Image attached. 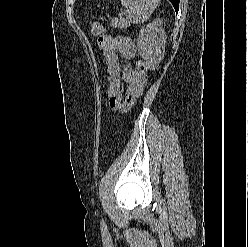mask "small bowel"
<instances>
[{"mask_svg":"<svg viewBox=\"0 0 248 247\" xmlns=\"http://www.w3.org/2000/svg\"><path fill=\"white\" fill-rule=\"evenodd\" d=\"M98 46L103 53L109 106L124 112L141 96L145 83L130 65L121 64L118 56L129 60L135 58L136 45L127 37L103 35L98 38Z\"/></svg>","mask_w":248,"mask_h":247,"instance_id":"c3829d8e","label":"small bowel"}]
</instances>
